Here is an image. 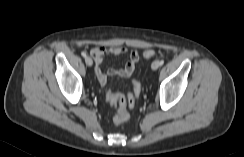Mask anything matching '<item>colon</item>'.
<instances>
[{"instance_id": "5ec220e1", "label": "colon", "mask_w": 244, "mask_h": 157, "mask_svg": "<svg viewBox=\"0 0 244 157\" xmlns=\"http://www.w3.org/2000/svg\"><path fill=\"white\" fill-rule=\"evenodd\" d=\"M154 55L155 51L152 49H148L143 52V57L145 59H150ZM140 91L141 86L137 81L133 82V91L126 97L116 94L109 89L106 91V99L108 103L117 110L113 118V121L116 125H120L129 119L128 109L132 108L135 105Z\"/></svg>"}]
</instances>
